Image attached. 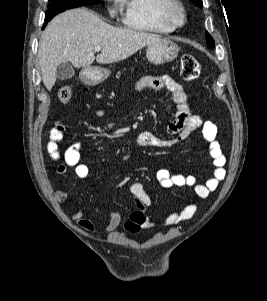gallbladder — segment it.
I'll list each match as a JSON object with an SVG mask.
<instances>
[{
    "mask_svg": "<svg viewBox=\"0 0 267 301\" xmlns=\"http://www.w3.org/2000/svg\"><path fill=\"white\" fill-rule=\"evenodd\" d=\"M75 75L74 67L69 63H61L57 66L56 77L63 81L72 78Z\"/></svg>",
    "mask_w": 267,
    "mask_h": 301,
    "instance_id": "1",
    "label": "gallbladder"
}]
</instances>
